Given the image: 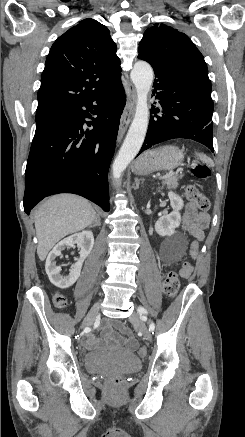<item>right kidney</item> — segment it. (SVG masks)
Here are the masks:
<instances>
[{"instance_id": "ca27d5eb", "label": "right kidney", "mask_w": 245, "mask_h": 437, "mask_svg": "<svg viewBox=\"0 0 245 437\" xmlns=\"http://www.w3.org/2000/svg\"><path fill=\"white\" fill-rule=\"evenodd\" d=\"M74 244L80 247V258L72 264L69 274L63 276L60 274L61 267L56 265V258L61 255L62 250L73 247ZM93 245L94 236L91 231H82L60 241L46 259L45 270L51 283L61 289L72 286L80 277L83 262L90 254Z\"/></svg>"}]
</instances>
